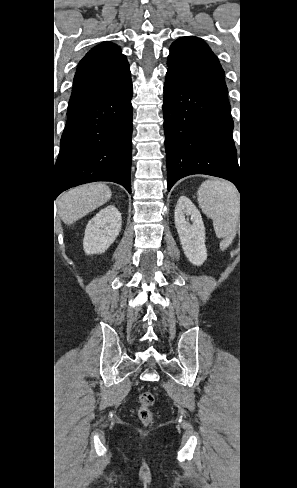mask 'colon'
I'll use <instances>...</instances> for the list:
<instances>
[{"label":"colon","instance_id":"1","mask_svg":"<svg viewBox=\"0 0 297 488\" xmlns=\"http://www.w3.org/2000/svg\"><path fill=\"white\" fill-rule=\"evenodd\" d=\"M154 396L151 392H143L139 395L138 417L140 421L147 425L153 420L152 406L154 405Z\"/></svg>","mask_w":297,"mask_h":488}]
</instances>
